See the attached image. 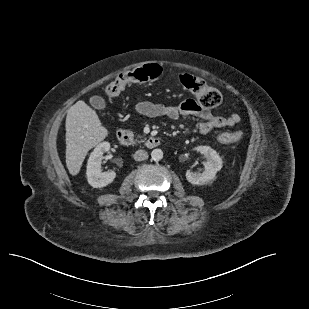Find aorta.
Listing matches in <instances>:
<instances>
[{"label": "aorta", "mask_w": 309, "mask_h": 309, "mask_svg": "<svg viewBox=\"0 0 309 309\" xmlns=\"http://www.w3.org/2000/svg\"><path fill=\"white\" fill-rule=\"evenodd\" d=\"M151 157L155 161H159L163 158V151L161 149H154L151 152Z\"/></svg>", "instance_id": "obj_1"}]
</instances>
